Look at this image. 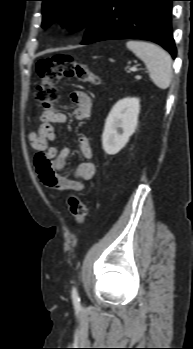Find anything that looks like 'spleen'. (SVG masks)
I'll list each match as a JSON object with an SVG mask.
<instances>
[{
	"instance_id": "obj_1",
	"label": "spleen",
	"mask_w": 193,
	"mask_h": 349,
	"mask_svg": "<svg viewBox=\"0 0 193 349\" xmlns=\"http://www.w3.org/2000/svg\"><path fill=\"white\" fill-rule=\"evenodd\" d=\"M127 48L147 66L152 82L160 89H167L172 81V59L161 47L145 42L130 40Z\"/></svg>"
}]
</instances>
